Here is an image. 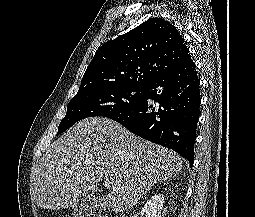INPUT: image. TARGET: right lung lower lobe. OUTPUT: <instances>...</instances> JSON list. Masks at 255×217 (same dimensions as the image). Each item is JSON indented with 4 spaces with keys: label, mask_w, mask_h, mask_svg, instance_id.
Instances as JSON below:
<instances>
[{
    "label": "right lung lower lobe",
    "mask_w": 255,
    "mask_h": 217,
    "mask_svg": "<svg viewBox=\"0 0 255 217\" xmlns=\"http://www.w3.org/2000/svg\"><path fill=\"white\" fill-rule=\"evenodd\" d=\"M199 85L191 59L179 69L151 82L136 105L107 118L137 136L174 150L192 167L201 102ZM149 99L158 104H150Z\"/></svg>",
    "instance_id": "98d812e1"
}]
</instances>
